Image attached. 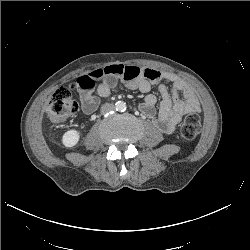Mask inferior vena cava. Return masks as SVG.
<instances>
[{
	"mask_svg": "<svg viewBox=\"0 0 250 250\" xmlns=\"http://www.w3.org/2000/svg\"><path fill=\"white\" fill-rule=\"evenodd\" d=\"M114 109H115V106L113 104L105 103L101 107V113L106 114L107 112L113 111Z\"/></svg>",
	"mask_w": 250,
	"mask_h": 250,
	"instance_id": "inferior-vena-cava-1",
	"label": "inferior vena cava"
}]
</instances>
